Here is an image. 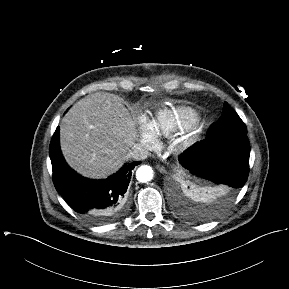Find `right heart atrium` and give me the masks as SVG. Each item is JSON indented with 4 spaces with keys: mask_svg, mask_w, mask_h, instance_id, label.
Returning a JSON list of instances; mask_svg holds the SVG:
<instances>
[{
    "mask_svg": "<svg viewBox=\"0 0 289 289\" xmlns=\"http://www.w3.org/2000/svg\"><path fill=\"white\" fill-rule=\"evenodd\" d=\"M137 141L141 147L147 151L157 148V137L151 130L150 123L143 116L138 118Z\"/></svg>",
    "mask_w": 289,
    "mask_h": 289,
    "instance_id": "obj_1",
    "label": "right heart atrium"
}]
</instances>
